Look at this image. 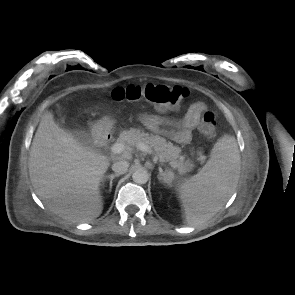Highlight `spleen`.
Wrapping results in <instances>:
<instances>
[{"instance_id":"1","label":"spleen","mask_w":295,"mask_h":295,"mask_svg":"<svg viewBox=\"0 0 295 295\" xmlns=\"http://www.w3.org/2000/svg\"><path fill=\"white\" fill-rule=\"evenodd\" d=\"M239 174L237 142L231 136H224L214 145L204 167L179 186L186 222L197 226L211 219L235 191Z\"/></svg>"}]
</instances>
